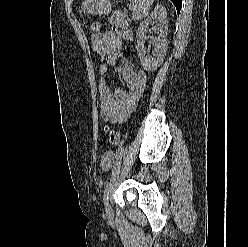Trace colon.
I'll return each instance as SVG.
<instances>
[{
    "mask_svg": "<svg viewBox=\"0 0 248 247\" xmlns=\"http://www.w3.org/2000/svg\"><path fill=\"white\" fill-rule=\"evenodd\" d=\"M101 24L99 21H93L91 23V30L94 33H98L100 31ZM147 85V77L144 71H139L136 74V78L131 87V98L133 102H137L141 96L143 95Z\"/></svg>",
    "mask_w": 248,
    "mask_h": 247,
    "instance_id": "1",
    "label": "colon"
}]
</instances>
